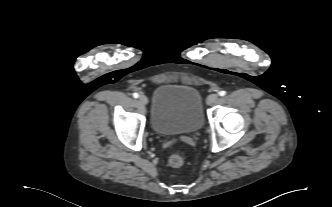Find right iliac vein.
<instances>
[{"label":"right iliac vein","instance_id":"1","mask_svg":"<svg viewBox=\"0 0 332 207\" xmlns=\"http://www.w3.org/2000/svg\"><path fill=\"white\" fill-rule=\"evenodd\" d=\"M139 102L143 105H146L148 103V98L145 95H141L139 97Z\"/></svg>","mask_w":332,"mask_h":207}]
</instances>
